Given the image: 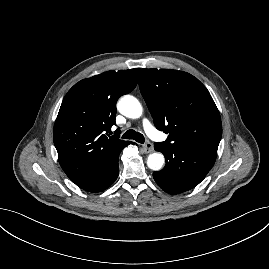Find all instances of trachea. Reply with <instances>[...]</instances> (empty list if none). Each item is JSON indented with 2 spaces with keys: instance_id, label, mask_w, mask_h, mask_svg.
I'll return each mask as SVG.
<instances>
[{
  "instance_id": "trachea-1",
  "label": "trachea",
  "mask_w": 269,
  "mask_h": 269,
  "mask_svg": "<svg viewBox=\"0 0 269 269\" xmlns=\"http://www.w3.org/2000/svg\"><path fill=\"white\" fill-rule=\"evenodd\" d=\"M122 138H124V139H133L136 142H139L141 144H143L145 142L144 136L141 133H139V132H137V131H135L133 129H130V130L126 131L122 135Z\"/></svg>"
}]
</instances>
